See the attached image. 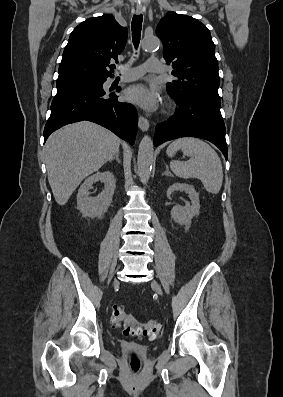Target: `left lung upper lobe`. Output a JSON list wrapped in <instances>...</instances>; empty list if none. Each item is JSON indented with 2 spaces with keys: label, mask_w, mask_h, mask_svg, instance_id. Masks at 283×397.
I'll return each mask as SVG.
<instances>
[{
  "label": "left lung upper lobe",
  "mask_w": 283,
  "mask_h": 397,
  "mask_svg": "<svg viewBox=\"0 0 283 397\" xmlns=\"http://www.w3.org/2000/svg\"><path fill=\"white\" fill-rule=\"evenodd\" d=\"M163 42V57L172 63V75L167 83L175 98L197 96L220 103V77L215 45L209 29L195 18L169 11L156 28Z\"/></svg>",
  "instance_id": "obj_1"
}]
</instances>
